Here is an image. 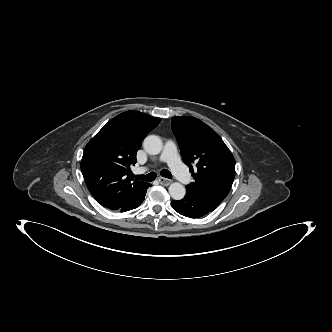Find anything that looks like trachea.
Masks as SVG:
<instances>
[{
    "label": "trachea",
    "mask_w": 332,
    "mask_h": 332,
    "mask_svg": "<svg viewBox=\"0 0 332 332\" xmlns=\"http://www.w3.org/2000/svg\"><path fill=\"white\" fill-rule=\"evenodd\" d=\"M160 175L163 176V177L169 178V179L172 178L171 173L166 169L161 170ZM156 176L157 175H156L155 172H151L147 175H137V176H135V178L138 179V180H144V181H147V182H152L153 180L156 179Z\"/></svg>",
    "instance_id": "1"
}]
</instances>
